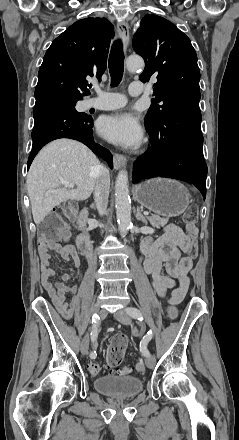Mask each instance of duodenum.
<instances>
[{
	"label": "duodenum",
	"instance_id": "obj_1",
	"mask_svg": "<svg viewBox=\"0 0 239 440\" xmlns=\"http://www.w3.org/2000/svg\"><path fill=\"white\" fill-rule=\"evenodd\" d=\"M88 215V210L86 208H83L79 213L78 225L80 234L77 237V246L80 253L89 258L92 255V241L87 231Z\"/></svg>",
	"mask_w": 239,
	"mask_h": 440
}]
</instances>
